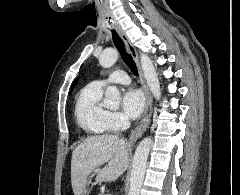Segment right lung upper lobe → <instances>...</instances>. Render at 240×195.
<instances>
[{
    "label": "right lung upper lobe",
    "instance_id": "obj_1",
    "mask_svg": "<svg viewBox=\"0 0 240 195\" xmlns=\"http://www.w3.org/2000/svg\"><path fill=\"white\" fill-rule=\"evenodd\" d=\"M76 81H77V80H75V81H74V83H73V85H72V86H74V85H75Z\"/></svg>",
    "mask_w": 240,
    "mask_h": 195
}]
</instances>
